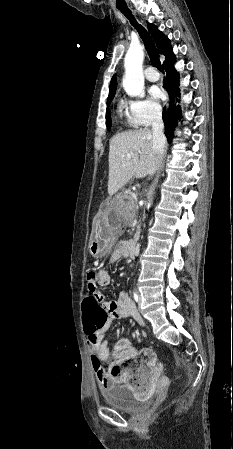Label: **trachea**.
<instances>
[{
    "instance_id": "3493384b",
    "label": "trachea",
    "mask_w": 233,
    "mask_h": 449,
    "mask_svg": "<svg viewBox=\"0 0 233 449\" xmlns=\"http://www.w3.org/2000/svg\"><path fill=\"white\" fill-rule=\"evenodd\" d=\"M117 8L130 20V23L134 26V28L137 29L141 39L144 42L145 48L150 56V61L153 66H155L159 71L164 72L160 59L158 57L155 44L151 38V36L148 34L146 29L138 24V22L135 20L134 16L132 15L131 11L128 9L127 6H117Z\"/></svg>"
}]
</instances>
